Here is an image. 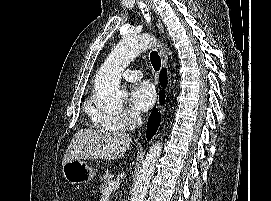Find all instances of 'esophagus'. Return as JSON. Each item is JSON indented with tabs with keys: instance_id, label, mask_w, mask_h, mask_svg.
<instances>
[{
	"instance_id": "obj_1",
	"label": "esophagus",
	"mask_w": 271,
	"mask_h": 201,
	"mask_svg": "<svg viewBox=\"0 0 271 201\" xmlns=\"http://www.w3.org/2000/svg\"><path fill=\"white\" fill-rule=\"evenodd\" d=\"M148 2V4H150V0H146ZM157 28H158V31L161 35V42L163 43V45H167V41H166V34H165V31H164V26L163 24L161 23L160 19L158 18L157 19ZM160 57H161V62H162V65L165 66L167 64V61H168V55H167V51L165 48L161 49L160 51ZM158 108L159 110L162 109V106L161 104L159 103L158 104Z\"/></svg>"
}]
</instances>
